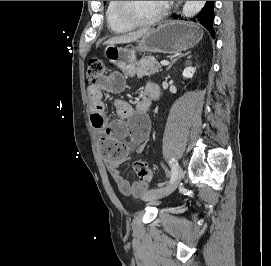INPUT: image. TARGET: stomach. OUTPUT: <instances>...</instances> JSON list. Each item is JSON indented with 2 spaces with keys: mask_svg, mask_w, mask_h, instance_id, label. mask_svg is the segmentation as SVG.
<instances>
[{
  "mask_svg": "<svg viewBox=\"0 0 271 266\" xmlns=\"http://www.w3.org/2000/svg\"><path fill=\"white\" fill-rule=\"evenodd\" d=\"M202 37L203 31L196 24L168 21L145 34L137 47L107 45L104 55L124 73L132 75L136 70V51L177 53L194 47Z\"/></svg>",
  "mask_w": 271,
  "mask_h": 266,
  "instance_id": "obj_1",
  "label": "stomach"
}]
</instances>
